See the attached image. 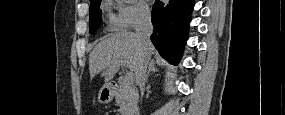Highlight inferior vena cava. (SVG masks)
Returning <instances> with one entry per match:
<instances>
[{"label": "inferior vena cava", "mask_w": 285, "mask_h": 115, "mask_svg": "<svg viewBox=\"0 0 285 115\" xmlns=\"http://www.w3.org/2000/svg\"><path fill=\"white\" fill-rule=\"evenodd\" d=\"M152 32H153V26L151 22V16L150 14H144L143 16L140 17L136 25L135 36L145 50H147V48L151 45L150 36ZM147 66H148V58L146 55L136 74V82L139 84L141 94H143L145 88ZM138 109L142 110L143 106L139 105Z\"/></svg>", "instance_id": "602c4592"}]
</instances>
